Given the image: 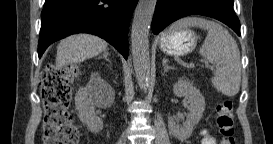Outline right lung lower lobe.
<instances>
[{"mask_svg": "<svg viewBox=\"0 0 273 144\" xmlns=\"http://www.w3.org/2000/svg\"><path fill=\"white\" fill-rule=\"evenodd\" d=\"M138 0H45L38 55L68 35L90 33L128 57V29Z\"/></svg>", "mask_w": 273, "mask_h": 144, "instance_id": "1", "label": "right lung lower lobe"}]
</instances>
